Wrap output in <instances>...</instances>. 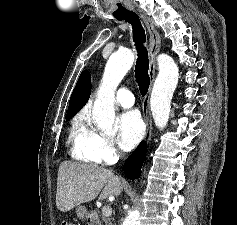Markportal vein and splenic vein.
<instances>
[{
  "mask_svg": "<svg viewBox=\"0 0 237 225\" xmlns=\"http://www.w3.org/2000/svg\"><path fill=\"white\" fill-rule=\"evenodd\" d=\"M102 213H103V215L106 216V217L111 216V215H112V209H111V207H110V206H104V207L102 208Z\"/></svg>",
  "mask_w": 237,
  "mask_h": 225,
  "instance_id": "1",
  "label": "portal vein and splenic vein"
}]
</instances>
